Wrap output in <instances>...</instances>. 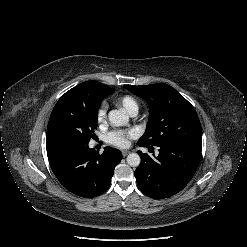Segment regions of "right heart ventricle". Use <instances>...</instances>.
<instances>
[{
	"mask_svg": "<svg viewBox=\"0 0 247 247\" xmlns=\"http://www.w3.org/2000/svg\"><path fill=\"white\" fill-rule=\"evenodd\" d=\"M120 102L122 105L130 112L132 109H138V102L137 100L130 96V95H124L120 98Z\"/></svg>",
	"mask_w": 247,
	"mask_h": 247,
	"instance_id": "1",
	"label": "right heart ventricle"
}]
</instances>
